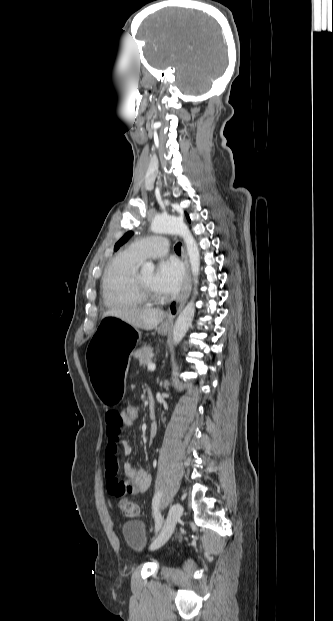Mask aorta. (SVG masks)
<instances>
[{
    "instance_id": "762f6f07",
    "label": "aorta",
    "mask_w": 333,
    "mask_h": 621,
    "mask_svg": "<svg viewBox=\"0 0 333 621\" xmlns=\"http://www.w3.org/2000/svg\"><path fill=\"white\" fill-rule=\"evenodd\" d=\"M150 229L156 234L170 233L183 238L189 256L194 283L197 284L200 270V252L188 226L181 219L176 217L156 216L151 222ZM153 271L154 265L151 262L145 263L141 268L142 274H152ZM196 294L197 291L195 290L194 296L180 312L175 322L173 329V341L175 344H179L182 341L192 323L195 314L194 300Z\"/></svg>"
}]
</instances>
